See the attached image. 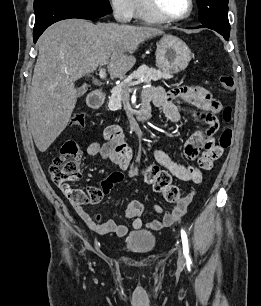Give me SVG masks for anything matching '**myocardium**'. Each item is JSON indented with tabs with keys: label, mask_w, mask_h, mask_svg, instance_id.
Instances as JSON below:
<instances>
[{
	"label": "myocardium",
	"mask_w": 261,
	"mask_h": 306,
	"mask_svg": "<svg viewBox=\"0 0 261 306\" xmlns=\"http://www.w3.org/2000/svg\"><path fill=\"white\" fill-rule=\"evenodd\" d=\"M188 2H189V7L185 14L177 17H169L161 12L156 0H141L143 9L151 17L155 18L160 22H166V23L179 22L187 19L192 14L195 5L194 0H188Z\"/></svg>",
	"instance_id": "f54148a6"
}]
</instances>
